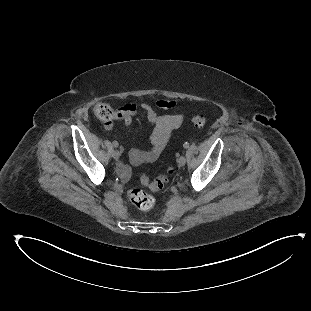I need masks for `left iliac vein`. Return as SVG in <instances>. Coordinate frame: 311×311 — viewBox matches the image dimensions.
Returning <instances> with one entry per match:
<instances>
[{
  "instance_id": "4c4485c4",
  "label": "left iliac vein",
  "mask_w": 311,
  "mask_h": 311,
  "mask_svg": "<svg viewBox=\"0 0 311 311\" xmlns=\"http://www.w3.org/2000/svg\"><path fill=\"white\" fill-rule=\"evenodd\" d=\"M177 162L179 167H183L186 164V158L184 156H181L178 158Z\"/></svg>"
}]
</instances>
